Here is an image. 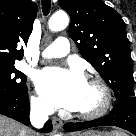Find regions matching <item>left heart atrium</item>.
I'll return each mask as SVG.
<instances>
[{"mask_svg": "<svg viewBox=\"0 0 136 136\" xmlns=\"http://www.w3.org/2000/svg\"><path fill=\"white\" fill-rule=\"evenodd\" d=\"M86 83L78 69L49 67L36 77L38 91L50 104L73 111L82 103Z\"/></svg>", "mask_w": 136, "mask_h": 136, "instance_id": "left-heart-atrium-1", "label": "left heart atrium"}]
</instances>
